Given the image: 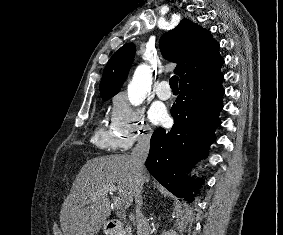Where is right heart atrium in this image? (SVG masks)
I'll list each match as a JSON object with an SVG mask.
<instances>
[{
	"label": "right heart atrium",
	"mask_w": 283,
	"mask_h": 235,
	"mask_svg": "<svg viewBox=\"0 0 283 235\" xmlns=\"http://www.w3.org/2000/svg\"><path fill=\"white\" fill-rule=\"evenodd\" d=\"M110 129L115 136L116 147L121 150H128L135 143L148 142L152 136V128L143 112L124 97L114 101Z\"/></svg>",
	"instance_id": "obj_1"
}]
</instances>
